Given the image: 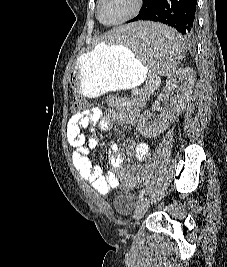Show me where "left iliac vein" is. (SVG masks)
I'll list each match as a JSON object with an SVG mask.
<instances>
[{"label": "left iliac vein", "mask_w": 227, "mask_h": 267, "mask_svg": "<svg viewBox=\"0 0 227 267\" xmlns=\"http://www.w3.org/2000/svg\"><path fill=\"white\" fill-rule=\"evenodd\" d=\"M149 205H150L149 198L148 197L143 198L142 201L140 202V204L138 205L136 212H135L136 222H138L142 218V216L147 211Z\"/></svg>", "instance_id": "obj_1"}]
</instances>
